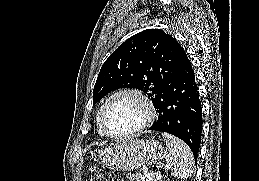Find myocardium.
Segmentation results:
<instances>
[{
    "mask_svg": "<svg viewBox=\"0 0 259 181\" xmlns=\"http://www.w3.org/2000/svg\"><path fill=\"white\" fill-rule=\"evenodd\" d=\"M123 95H131L136 97L143 105L144 109H145V117L143 122L141 123V125L139 127H137L136 129L124 133V134H114L112 133L106 126L105 123V112L106 109L108 107V105L116 98L123 96ZM156 117V109L155 106L153 104V102L151 101V99L140 89L138 88H133V87H127V88H122L116 92H114L112 95H110L106 101L103 103V105L100 108V112H99V122H100V126L103 129L104 133L114 139H129V138H133L139 134H141L144 130H146L147 128H149L151 126V124L153 123V121L155 120Z\"/></svg>",
    "mask_w": 259,
    "mask_h": 181,
    "instance_id": "myocardium-1",
    "label": "myocardium"
}]
</instances>
